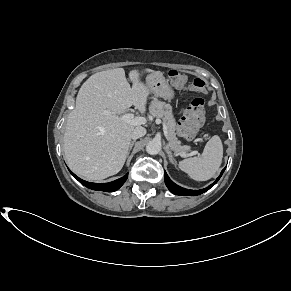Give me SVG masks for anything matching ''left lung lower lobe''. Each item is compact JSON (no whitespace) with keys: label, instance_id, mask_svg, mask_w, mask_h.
Returning <instances> with one entry per match:
<instances>
[{"label":"left lung lower lobe","instance_id":"left-lung-lower-lobe-1","mask_svg":"<svg viewBox=\"0 0 291 291\" xmlns=\"http://www.w3.org/2000/svg\"><path fill=\"white\" fill-rule=\"evenodd\" d=\"M225 169L222 170L220 176L217 178V180L211 184L210 186H208L207 188L205 189H201V190H188V189H185V188H182L180 186H178L177 184H175L170 178L169 176L167 175V173L165 172V184L166 186L168 187V189L173 193V194H176V195H185V196H196V195H199V194H202L204 192H206L207 190H209L212 186H214L217 181L220 179V177L222 176L223 172H224Z\"/></svg>","mask_w":291,"mask_h":291}]
</instances>
